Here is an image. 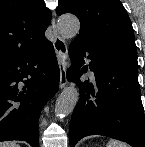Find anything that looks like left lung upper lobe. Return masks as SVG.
<instances>
[{"label":"left lung upper lobe","instance_id":"left-lung-upper-lobe-1","mask_svg":"<svg viewBox=\"0 0 145 147\" xmlns=\"http://www.w3.org/2000/svg\"><path fill=\"white\" fill-rule=\"evenodd\" d=\"M56 13H72L79 18L80 32L74 41L136 51L132 23L119 0H59Z\"/></svg>","mask_w":145,"mask_h":147}]
</instances>
